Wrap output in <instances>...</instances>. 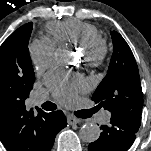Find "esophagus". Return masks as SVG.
<instances>
[{
	"label": "esophagus",
	"mask_w": 151,
	"mask_h": 151,
	"mask_svg": "<svg viewBox=\"0 0 151 151\" xmlns=\"http://www.w3.org/2000/svg\"><path fill=\"white\" fill-rule=\"evenodd\" d=\"M79 122H80V119H78V118L75 117V116L69 115V116L67 117V123L70 124V125L78 124Z\"/></svg>",
	"instance_id": "34e87169"
}]
</instances>
